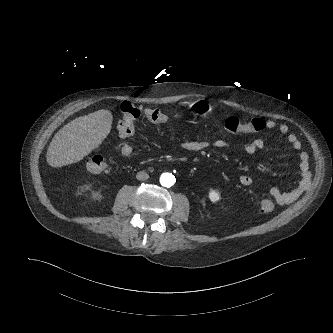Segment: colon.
<instances>
[{"label":"colon","instance_id":"colon-1","mask_svg":"<svg viewBox=\"0 0 333 333\" xmlns=\"http://www.w3.org/2000/svg\"><path fill=\"white\" fill-rule=\"evenodd\" d=\"M123 118L118 123V133L120 136L128 138L135 132V122L143 115L152 123H168L170 117L154 108H142L134 106L128 102L122 104ZM266 122L259 118L249 120H240L237 117H228L224 122V127L229 132L236 133H256L263 130ZM85 170L91 174H100L107 172L110 168L108 160L102 156L96 155L89 158L85 165ZM275 204L270 198H264L258 203V210L261 213L267 214L273 212Z\"/></svg>","mask_w":333,"mask_h":333}]
</instances>
